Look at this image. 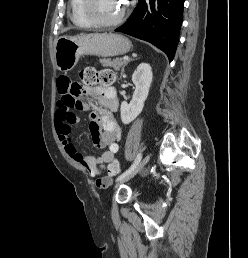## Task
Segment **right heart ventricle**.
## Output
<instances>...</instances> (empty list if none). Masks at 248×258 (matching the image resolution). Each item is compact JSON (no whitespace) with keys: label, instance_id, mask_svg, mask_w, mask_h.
Listing matches in <instances>:
<instances>
[{"label":"right heart ventricle","instance_id":"right-heart-ventricle-1","mask_svg":"<svg viewBox=\"0 0 248 258\" xmlns=\"http://www.w3.org/2000/svg\"><path fill=\"white\" fill-rule=\"evenodd\" d=\"M70 11L72 22L79 27H90V22L86 19L82 11V0H70Z\"/></svg>","mask_w":248,"mask_h":258}]
</instances>
